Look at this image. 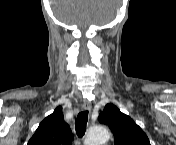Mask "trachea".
<instances>
[{
	"label": "trachea",
	"mask_w": 176,
	"mask_h": 145,
	"mask_svg": "<svg viewBox=\"0 0 176 145\" xmlns=\"http://www.w3.org/2000/svg\"><path fill=\"white\" fill-rule=\"evenodd\" d=\"M88 120V111H82L78 114L75 120V129L78 137H83L85 134V127Z\"/></svg>",
	"instance_id": "obj_1"
}]
</instances>
